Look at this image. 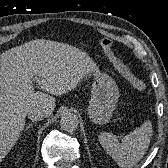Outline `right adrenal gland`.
Instances as JSON below:
<instances>
[{
    "label": "right adrenal gland",
    "instance_id": "right-adrenal-gland-1",
    "mask_svg": "<svg viewBox=\"0 0 168 168\" xmlns=\"http://www.w3.org/2000/svg\"><path fill=\"white\" fill-rule=\"evenodd\" d=\"M32 126V123L26 126V130H28Z\"/></svg>",
    "mask_w": 168,
    "mask_h": 168
}]
</instances>
